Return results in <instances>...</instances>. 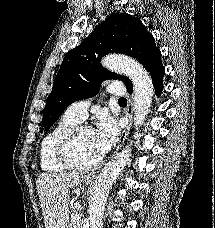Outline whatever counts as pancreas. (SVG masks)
Returning a JSON list of instances; mask_svg holds the SVG:
<instances>
[{"label":"pancreas","mask_w":215,"mask_h":228,"mask_svg":"<svg viewBox=\"0 0 215 228\" xmlns=\"http://www.w3.org/2000/svg\"><path fill=\"white\" fill-rule=\"evenodd\" d=\"M69 228H80V226H78V222H75V220H70Z\"/></svg>","instance_id":"pancreas-1"}]
</instances>
